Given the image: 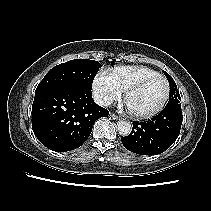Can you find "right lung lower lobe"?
Instances as JSON below:
<instances>
[{
  "mask_svg": "<svg viewBox=\"0 0 211 211\" xmlns=\"http://www.w3.org/2000/svg\"><path fill=\"white\" fill-rule=\"evenodd\" d=\"M108 115V110L93 101L89 90L52 88L35 93L32 129L44 146L65 152L80 147L94 122Z\"/></svg>",
  "mask_w": 211,
  "mask_h": 211,
  "instance_id": "1",
  "label": "right lung lower lobe"
}]
</instances>
